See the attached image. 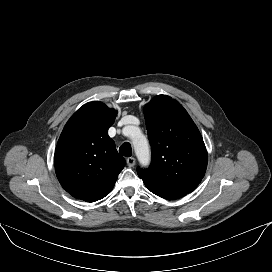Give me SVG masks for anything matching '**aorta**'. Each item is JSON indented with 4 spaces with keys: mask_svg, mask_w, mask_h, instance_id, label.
<instances>
[{
    "mask_svg": "<svg viewBox=\"0 0 272 272\" xmlns=\"http://www.w3.org/2000/svg\"><path fill=\"white\" fill-rule=\"evenodd\" d=\"M130 136L132 144L139 162L147 165L150 161V149L147 138L141 133L137 127H130Z\"/></svg>",
    "mask_w": 272,
    "mask_h": 272,
    "instance_id": "762f6f07",
    "label": "aorta"
}]
</instances>
